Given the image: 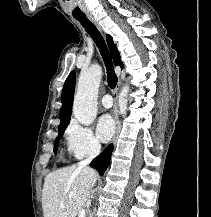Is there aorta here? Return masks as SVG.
<instances>
[{"mask_svg": "<svg viewBox=\"0 0 211 217\" xmlns=\"http://www.w3.org/2000/svg\"><path fill=\"white\" fill-rule=\"evenodd\" d=\"M102 76L100 65H92L81 71L77 92L73 102V114L84 125L93 123L97 116V95ZM129 86L122 87L119 93V111L126 114ZM89 217H92L90 214Z\"/></svg>", "mask_w": 211, "mask_h": 217, "instance_id": "1", "label": "aorta"}]
</instances>
